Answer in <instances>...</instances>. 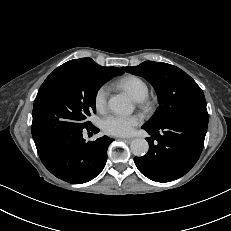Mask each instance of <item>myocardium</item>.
Wrapping results in <instances>:
<instances>
[{
  "label": "myocardium",
  "mask_w": 231,
  "mask_h": 231,
  "mask_svg": "<svg viewBox=\"0 0 231 231\" xmlns=\"http://www.w3.org/2000/svg\"><path fill=\"white\" fill-rule=\"evenodd\" d=\"M145 109H151L153 107V101L147 97L139 101Z\"/></svg>",
  "instance_id": "obj_1"
}]
</instances>
